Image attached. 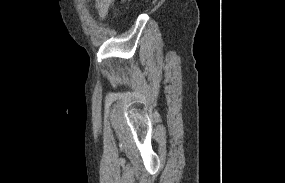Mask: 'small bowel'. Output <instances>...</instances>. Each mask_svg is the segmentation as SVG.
Returning <instances> with one entry per match:
<instances>
[{
  "label": "small bowel",
  "instance_id": "obj_1",
  "mask_svg": "<svg viewBox=\"0 0 285 183\" xmlns=\"http://www.w3.org/2000/svg\"><path fill=\"white\" fill-rule=\"evenodd\" d=\"M114 0H94V8L98 17L103 20L107 17Z\"/></svg>",
  "mask_w": 285,
  "mask_h": 183
}]
</instances>
